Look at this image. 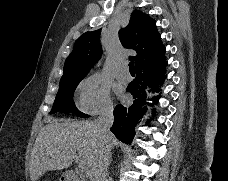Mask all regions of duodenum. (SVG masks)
<instances>
[{
  "label": "duodenum",
  "mask_w": 228,
  "mask_h": 181,
  "mask_svg": "<svg viewBox=\"0 0 228 181\" xmlns=\"http://www.w3.org/2000/svg\"><path fill=\"white\" fill-rule=\"evenodd\" d=\"M63 181H81V179L77 178L75 172H70L69 174H65V178H63Z\"/></svg>",
  "instance_id": "410a0bca"
}]
</instances>
